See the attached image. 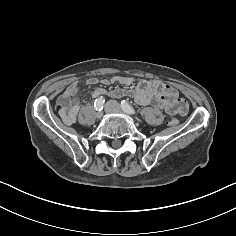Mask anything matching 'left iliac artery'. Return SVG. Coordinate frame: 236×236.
I'll list each match as a JSON object with an SVG mask.
<instances>
[{
	"label": "left iliac artery",
	"mask_w": 236,
	"mask_h": 236,
	"mask_svg": "<svg viewBox=\"0 0 236 236\" xmlns=\"http://www.w3.org/2000/svg\"><path fill=\"white\" fill-rule=\"evenodd\" d=\"M121 108L128 114L135 115L136 110L125 100L121 101Z\"/></svg>",
	"instance_id": "44dca946"
}]
</instances>
